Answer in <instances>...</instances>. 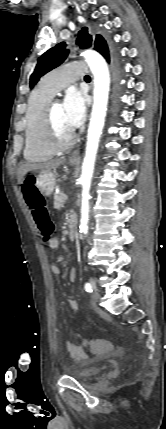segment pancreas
Returning <instances> with one entry per match:
<instances>
[{
    "label": "pancreas",
    "mask_w": 166,
    "mask_h": 429,
    "mask_svg": "<svg viewBox=\"0 0 166 429\" xmlns=\"http://www.w3.org/2000/svg\"><path fill=\"white\" fill-rule=\"evenodd\" d=\"M64 195L65 194L63 192H60L59 194L54 195V208L55 209H60L63 207V204L65 202V200L63 198Z\"/></svg>",
    "instance_id": "1"
}]
</instances>
